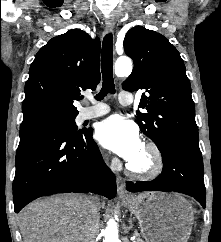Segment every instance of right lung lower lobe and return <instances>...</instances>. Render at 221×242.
<instances>
[{
  "label": "right lung lower lobe",
  "instance_id": "98d812e1",
  "mask_svg": "<svg viewBox=\"0 0 221 242\" xmlns=\"http://www.w3.org/2000/svg\"><path fill=\"white\" fill-rule=\"evenodd\" d=\"M69 192H93L109 199L116 195V178L103 162L92 130L21 128L13 182L15 212L38 197Z\"/></svg>",
  "mask_w": 221,
  "mask_h": 242
}]
</instances>
